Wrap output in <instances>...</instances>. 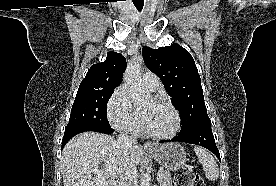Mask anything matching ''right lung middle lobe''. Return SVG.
<instances>
[{"instance_id": "dd1d6c3e", "label": "right lung middle lobe", "mask_w": 276, "mask_h": 186, "mask_svg": "<svg viewBox=\"0 0 276 186\" xmlns=\"http://www.w3.org/2000/svg\"><path fill=\"white\" fill-rule=\"evenodd\" d=\"M114 89L78 90L66 129L80 125L110 126L106 117L107 101Z\"/></svg>"}]
</instances>
